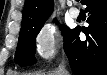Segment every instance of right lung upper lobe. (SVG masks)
I'll return each mask as SVG.
<instances>
[{"label":"right lung upper lobe","instance_id":"cb5924a9","mask_svg":"<svg viewBox=\"0 0 107 75\" xmlns=\"http://www.w3.org/2000/svg\"><path fill=\"white\" fill-rule=\"evenodd\" d=\"M84 0H81L83 2ZM53 11V0H25L23 23H44Z\"/></svg>","mask_w":107,"mask_h":75}]
</instances>
